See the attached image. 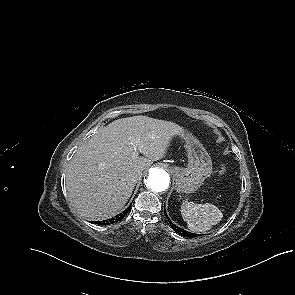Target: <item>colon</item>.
<instances>
[{
  "mask_svg": "<svg viewBox=\"0 0 295 295\" xmlns=\"http://www.w3.org/2000/svg\"><path fill=\"white\" fill-rule=\"evenodd\" d=\"M226 173H227V167L225 165L220 166L218 170L219 176L223 177L226 175Z\"/></svg>",
  "mask_w": 295,
  "mask_h": 295,
  "instance_id": "1",
  "label": "colon"
}]
</instances>
